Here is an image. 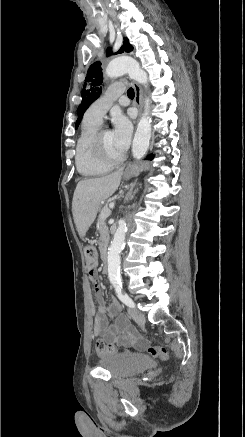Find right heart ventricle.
<instances>
[{
	"label": "right heart ventricle",
	"instance_id": "obj_1",
	"mask_svg": "<svg viewBox=\"0 0 245 437\" xmlns=\"http://www.w3.org/2000/svg\"><path fill=\"white\" fill-rule=\"evenodd\" d=\"M100 123L84 117L75 146L77 171L85 177H97L108 173L113 165L100 161L93 153L91 141Z\"/></svg>",
	"mask_w": 245,
	"mask_h": 437
}]
</instances>
